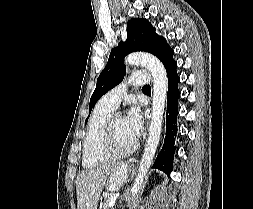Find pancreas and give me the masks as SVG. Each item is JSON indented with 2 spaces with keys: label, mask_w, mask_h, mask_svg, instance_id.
<instances>
[{
  "label": "pancreas",
  "mask_w": 253,
  "mask_h": 209,
  "mask_svg": "<svg viewBox=\"0 0 253 209\" xmlns=\"http://www.w3.org/2000/svg\"><path fill=\"white\" fill-rule=\"evenodd\" d=\"M110 195L104 197V201L102 203V209H113V206L109 205Z\"/></svg>",
  "instance_id": "1"
}]
</instances>
